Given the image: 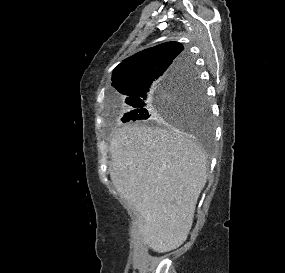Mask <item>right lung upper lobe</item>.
<instances>
[{
  "label": "right lung upper lobe",
  "instance_id": "1",
  "mask_svg": "<svg viewBox=\"0 0 285 273\" xmlns=\"http://www.w3.org/2000/svg\"><path fill=\"white\" fill-rule=\"evenodd\" d=\"M183 45L166 42L127 58L113 71L112 85L125 100L156 88L166 78L192 67Z\"/></svg>",
  "mask_w": 285,
  "mask_h": 273
}]
</instances>
